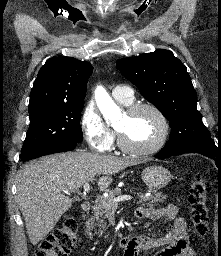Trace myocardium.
I'll return each instance as SVG.
<instances>
[{
    "instance_id": "obj_1",
    "label": "myocardium",
    "mask_w": 221,
    "mask_h": 256,
    "mask_svg": "<svg viewBox=\"0 0 221 256\" xmlns=\"http://www.w3.org/2000/svg\"><path fill=\"white\" fill-rule=\"evenodd\" d=\"M141 110H149L157 117L160 123V134L157 140L147 147H133L126 143L122 133L117 129L118 145L122 151L132 155H151L158 152L166 144L170 134V124L164 112L155 104L150 102H139L128 105L126 113L133 115Z\"/></svg>"
}]
</instances>
